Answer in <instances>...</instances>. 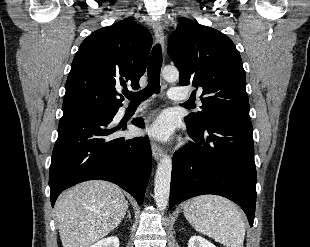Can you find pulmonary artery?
Segmentation results:
<instances>
[{
  "instance_id": "e3ab8cb5",
  "label": "pulmonary artery",
  "mask_w": 310,
  "mask_h": 247,
  "mask_svg": "<svg viewBox=\"0 0 310 247\" xmlns=\"http://www.w3.org/2000/svg\"><path fill=\"white\" fill-rule=\"evenodd\" d=\"M168 97L173 101H183L187 99V94L183 92L182 88L173 87L169 89Z\"/></svg>"
}]
</instances>
